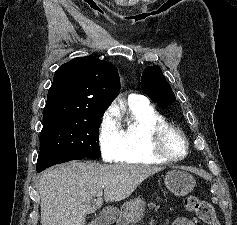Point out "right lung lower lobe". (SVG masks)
<instances>
[{
    "label": "right lung lower lobe",
    "instance_id": "right-lung-lower-lobe-1",
    "mask_svg": "<svg viewBox=\"0 0 237 225\" xmlns=\"http://www.w3.org/2000/svg\"><path fill=\"white\" fill-rule=\"evenodd\" d=\"M84 158L86 157L70 152L40 151L36 169L37 172H41L45 168L55 164H60L71 160H81Z\"/></svg>",
    "mask_w": 237,
    "mask_h": 225
}]
</instances>
